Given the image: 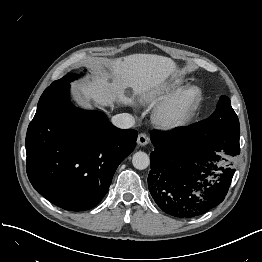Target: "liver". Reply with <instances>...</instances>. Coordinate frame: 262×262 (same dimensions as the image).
I'll use <instances>...</instances> for the list:
<instances>
[{
	"instance_id": "obj_1",
	"label": "liver",
	"mask_w": 262,
	"mask_h": 262,
	"mask_svg": "<svg viewBox=\"0 0 262 262\" xmlns=\"http://www.w3.org/2000/svg\"><path fill=\"white\" fill-rule=\"evenodd\" d=\"M111 70L113 82L109 83V74L100 72L92 81L82 82L78 90L84 101L97 107L113 106L115 102L132 105L133 98L124 95L126 88H131L134 95L158 88L173 74L176 63L168 57L154 54H132L105 62Z\"/></svg>"
}]
</instances>
